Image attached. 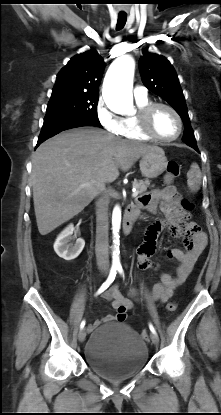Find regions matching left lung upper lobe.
Listing matches in <instances>:
<instances>
[{
    "instance_id": "1",
    "label": "left lung upper lobe",
    "mask_w": 221,
    "mask_h": 415,
    "mask_svg": "<svg viewBox=\"0 0 221 415\" xmlns=\"http://www.w3.org/2000/svg\"><path fill=\"white\" fill-rule=\"evenodd\" d=\"M139 69L143 84L166 100L181 116L185 126L182 140L187 145L196 144L185 98L177 74L170 62L161 55L145 52L139 60Z\"/></svg>"
}]
</instances>
